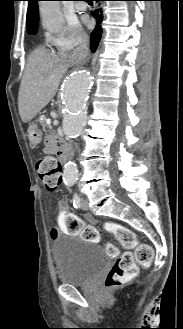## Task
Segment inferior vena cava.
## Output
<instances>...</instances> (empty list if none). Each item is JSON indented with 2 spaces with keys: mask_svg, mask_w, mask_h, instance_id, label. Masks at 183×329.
Segmentation results:
<instances>
[{
  "mask_svg": "<svg viewBox=\"0 0 183 329\" xmlns=\"http://www.w3.org/2000/svg\"><path fill=\"white\" fill-rule=\"evenodd\" d=\"M88 54V48L86 44H81L74 52V59L75 60H82L84 59Z\"/></svg>",
  "mask_w": 183,
  "mask_h": 329,
  "instance_id": "1",
  "label": "inferior vena cava"
}]
</instances>
